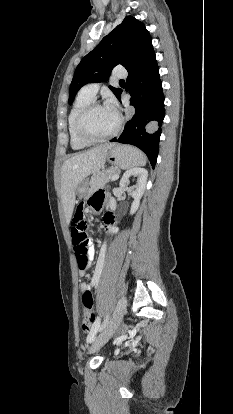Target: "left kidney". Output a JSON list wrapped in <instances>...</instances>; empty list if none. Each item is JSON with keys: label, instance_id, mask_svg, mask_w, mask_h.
Masks as SVG:
<instances>
[{"label": "left kidney", "instance_id": "obj_1", "mask_svg": "<svg viewBox=\"0 0 233 414\" xmlns=\"http://www.w3.org/2000/svg\"><path fill=\"white\" fill-rule=\"evenodd\" d=\"M131 176L138 177L137 185L135 189H128L127 182ZM148 177V171L144 168H132L126 171L119 183L120 188L127 190L128 193L134 199L131 205L130 214H134L140 205V199L144 193L146 182Z\"/></svg>", "mask_w": 233, "mask_h": 414}]
</instances>
